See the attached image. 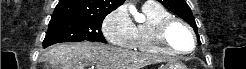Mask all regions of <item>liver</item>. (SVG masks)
<instances>
[{"mask_svg": "<svg viewBox=\"0 0 246 69\" xmlns=\"http://www.w3.org/2000/svg\"><path fill=\"white\" fill-rule=\"evenodd\" d=\"M44 57L58 69H142L162 59L151 54L133 52L128 49L102 43H60L49 49Z\"/></svg>", "mask_w": 246, "mask_h": 69, "instance_id": "6515ba94", "label": "liver"}]
</instances>
